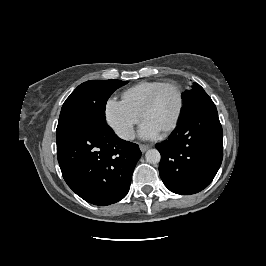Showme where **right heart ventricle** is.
I'll return each instance as SVG.
<instances>
[{
    "mask_svg": "<svg viewBox=\"0 0 266 266\" xmlns=\"http://www.w3.org/2000/svg\"><path fill=\"white\" fill-rule=\"evenodd\" d=\"M163 83L162 81L139 82L127 88L122 94V99L131 109L140 114L150 95Z\"/></svg>",
    "mask_w": 266,
    "mask_h": 266,
    "instance_id": "1",
    "label": "right heart ventricle"
}]
</instances>
